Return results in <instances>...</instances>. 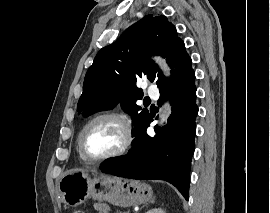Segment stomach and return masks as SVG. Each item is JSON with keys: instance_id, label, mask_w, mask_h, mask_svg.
<instances>
[{"instance_id": "1", "label": "stomach", "mask_w": 270, "mask_h": 213, "mask_svg": "<svg viewBox=\"0 0 270 213\" xmlns=\"http://www.w3.org/2000/svg\"><path fill=\"white\" fill-rule=\"evenodd\" d=\"M58 191L60 200L69 207H77L88 198L129 207L147 203L153 196L146 183L78 169L61 176Z\"/></svg>"}]
</instances>
